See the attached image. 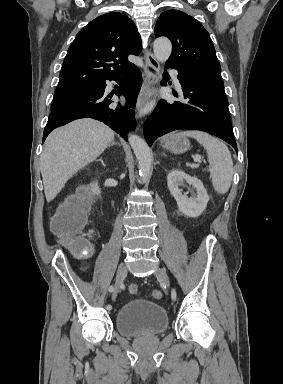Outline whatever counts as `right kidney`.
<instances>
[{
	"mask_svg": "<svg viewBox=\"0 0 283 384\" xmlns=\"http://www.w3.org/2000/svg\"><path fill=\"white\" fill-rule=\"evenodd\" d=\"M92 192H94V194H100V188H99L97 182H93V184H92Z\"/></svg>",
	"mask_w": 283,
	"mask_h": 384,
	"instance_id": "ca27d5eb",
	"label": "right kidney"
}]
</instances>
